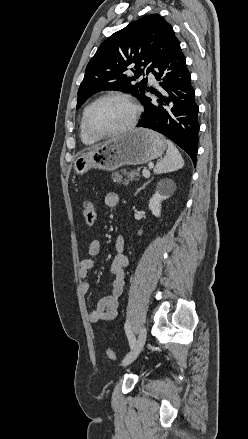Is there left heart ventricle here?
Instances as JSON below:
<instances>
[{"mask_svg": "<svg viewBox=\"0 0 248 439\" xmlns=\"http://www.w3.org/2000/svg\"><path fill=\"white\" fill-rule=\"evenodd\" d=\"M132 116L131 107L121 100L106 99L89 112V126L97 132H109L124 127Z\"/></svg>", "mask_w": 248, "mask_h": 439, "instance_id": "b2bd125f", "label": "left heart ventricle"}]
</instances>
